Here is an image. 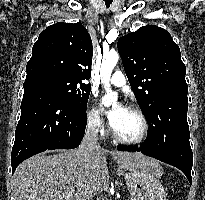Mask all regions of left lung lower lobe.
<instances>
[{
	"mask_svg": "<svg viewBox=\"0 0 205 200\" xmlns=\"http://www.w3.org/2000/svg\"><path fill=\"white\" fill-rule=\"evenodd\" d=\"M184 92L172 93L156 102V112H167L148 131L146 140L136 146H118L120 151L142 152L180 169L192 183L193 154L187 123L188 99Z\"/></svg>",
	"mask_w": 205,
	"mask_h": 200,
	"instance_id": "obj_1",
	"label": "left lung lower lobe"
}]
</instances>
